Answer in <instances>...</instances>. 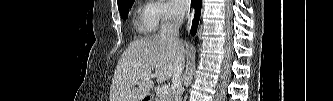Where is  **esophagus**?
I'll use <instances>...</instances> for the list:
<instances>
[{"instance_id":"34e87169","label":"esophagus","mask_w":333,"mask_h":101,"mask_svg":"<svg viewBox=\"0 0 333 101\" xmlns=\"http://www.w3.org/2000/svg\"><path fill=\"white\" fill-rule=\"evenodd\" d=\"M189 29H190V21H188L187 26H186V30L189 31Z\"/></svg>"}]
</instances>
